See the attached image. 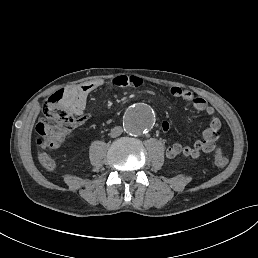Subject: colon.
<instances>
[{"mask_svg": "<svg viewBox=\"0 0 258 258\" xmlns=\"http://www.w3.org/2000/svg\"><path fill=\"white\" fill-rule=\"evenodd\" d=\"M63 91L53 94L44 105V116L36 125L38 146L41 154H51L56 150L64 138L75 128L83 124L85 117H76L59 106ZM45 160V157L43 156ZM214 163L217 167L227 165L229 158L223 147L214 150Z\"/></svg>", "mask_w": 258, "mask_h": 258, "instance_id": "obj_1", "label": "colon"}]
</instances>
